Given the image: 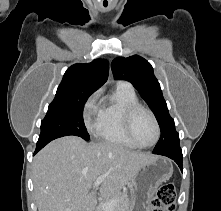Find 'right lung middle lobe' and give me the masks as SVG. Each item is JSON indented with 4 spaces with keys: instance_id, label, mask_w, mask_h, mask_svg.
Masks as SVG:
<instances>
[{
    "instance_id": "dd1d6c3e",
    "label": "right lung middle lobe",
    "mask_w": 221,
    "mask_h": 211,
    "mask_svg": "<svg viewBox=\"0 0 221 211\" xmlns=\"http://www.w3.org/2000/svg\"><path fill=\"white\" fill-rule=\"evenodd\" d=\"M89 95L71 98H55L49 105L45 118L41 121V134L37 143L75 135L89 140L83 121V108Z\"/></svg>"
}]
</instances>
